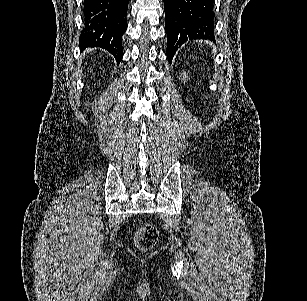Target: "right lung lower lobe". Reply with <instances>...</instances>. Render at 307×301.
<instances>
[{
    "instance_id": "1",
    "label": "right lung lower lobe",
    "mask_w": 307,
    "mask_h": 301,
    "mask_svg": "<svg viewBox=\"0 0 307 301\" xmlns=\"http://www.w3.org/2000/svg\"><path fill=\"white\" fill-rule=\"evenodd\" d=\"M128 0H84L79 46L100 47L109 51L117 63L122 60V35L127 29Z\"/></svg>"
}]
</instances>
